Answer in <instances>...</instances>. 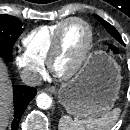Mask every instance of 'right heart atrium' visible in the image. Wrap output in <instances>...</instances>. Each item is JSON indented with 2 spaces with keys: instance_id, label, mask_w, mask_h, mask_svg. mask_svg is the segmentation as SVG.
Segmentation results:
<instances>
[{
  "instance_id": "obj_1",
  "label": "right heart atrium",
  "mask_w": 130,
  "mask_h": 130,
  "mask_svg": "<svg viewBox=\"0 0 130 130\" xmlns=\"http://www.w3.org/2000/svg\"><path fill=\"white\" fill-rule=\"evenodd\" d=\"M14 63L23 80L30 85L38 84L45 73L44 62L35 59L26 51H17L14 56Z\"/></svg>"
}]
</instances>
